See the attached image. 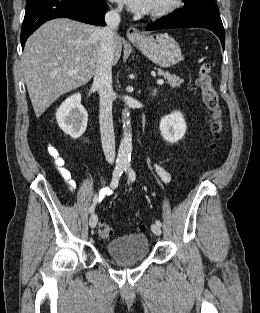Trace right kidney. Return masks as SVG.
<instances>
[{"label": "right kidney", "mask_w": 260, "mask_h": 313, "mask_svg": "<svg viewBox=\"0 0 260 313\" xmlns=\"http://www.w3.org/2000/svg\"><path fill=\"white\" fill-rule=\"evenodd\" d=\"M56 120L59 127L71 138L83 135L87 127L88 114L81 105L79 93L68 97L57 109Z\"/></svg>", "instance_id": "right-kidney-1"}]
</instances>
